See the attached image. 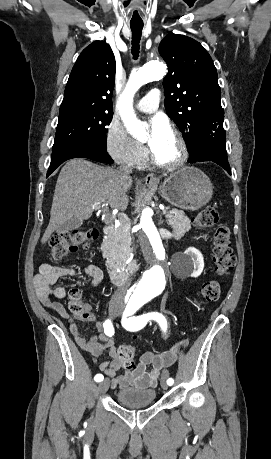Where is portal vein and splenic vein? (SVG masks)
<instances>
[{
    "mask_svg": "<svg viewBox=\"0 0 271 459\" xmlns=\"http://www.w3.org/2000/svg\"><path fill=\"white\" fill-rule=\"evenodd\" d=\"M93 210H96V208H93ZM173 214H165L166 219H170V217H173Z\"/></svg>",
    "mask_w": 271,
    "mask_h": 459,
    "instance_id": "18ae733b",
    "label": "portal vein and splenic vein"
}]
</instances>
